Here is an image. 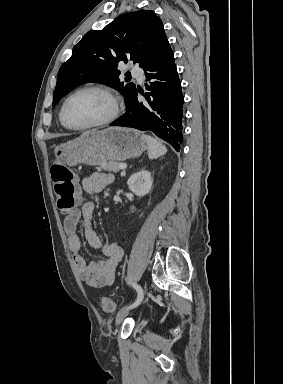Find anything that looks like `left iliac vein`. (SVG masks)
Here are the masks:
<instances>
[{
    "label": "left iliac vein",
    "instance_id": "4c4485c4",
    "mask_svg": "<svg viewBox=\"0 0 283 384\" xmlns=\"http://www.w3.org/2000/svg\"><path fill=\"white\" fill-rule=\"evenodd\" d=\"M132 309V308H129V307H125V308H122L118 314L116 315V320H115V323L116 325H119L123 320L124 318L127 316V314L129 313V310Z\"/></svg>",
    "mask_w": 283,
    "mask_h": 384
}]
</instances>
